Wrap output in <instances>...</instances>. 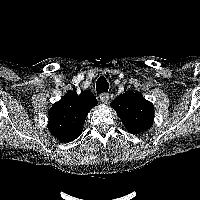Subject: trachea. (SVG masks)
Segmentation results:
<instances>
[{
	"label": "trachea",
	"mask_w": 200,
	"mask_h": 200,
	"mask_svg": "<svg viewBox=\"0 0 200 200\" xmlns=\"http://www.w3.org/2000/svg\"><path fill=\"white\" fill-rule=\"evenodd\" d=\"M109 89V84L106 80L105 77H99L97 82H96V90H97V93H103V92H107Z\"/></svg>",
	"instance_id": "obj_1"
}]
</instances>
